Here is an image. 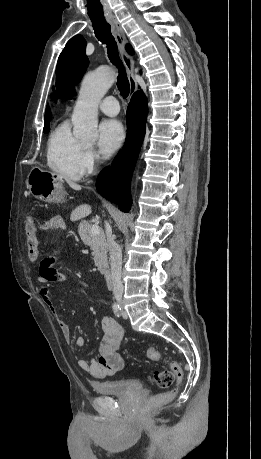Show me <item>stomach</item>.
<instances>
[{
    "instance_id": "stomach-1",
    "label": "stomach",
    "mask_w": 261,
    "mask_h": 459,
    "mask_svg": "<svg viewBox=\"0 0 261 459\" xmlns=\"http://www.w3.org/2000/svg\"><path fill=\"white\" fill-rule=\"evenodd\" d=\"M30 193L37 199L48 203H60L64 200L63 180L53 172L33 167L27 178Z\"/></svg>"
}]
</instances>
